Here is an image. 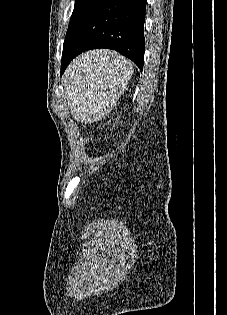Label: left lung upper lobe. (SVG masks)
Here are the masks:
<instances>
[{
	"instance_id": "1",
	"label": "left lung upper lobe",
	"mask_w": 227,
	"mask_h": 315,
	"mask_svg": "<svg viewBox=\"0 0 227 315\" xmlns=\"http://www.w3.org/2000/svg\"><path fill=\"white\" fill-rule=\"evenodd\" d=\"M97 1L98 0H75V6L66 33L65 41L74 30L76 24L84 18V16L93 8Z\"/></svg>"
}]
</instances>
